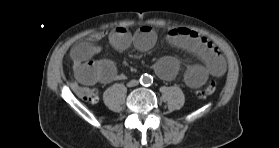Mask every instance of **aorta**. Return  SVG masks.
<instances>
[{
	"label": "aorta",
	"mask_w": 279,
	"mask_h": 148,
	"mask_svg": "<svg viewBox=\"0 0 279 148\" xmlns=\"http://www.w3.org/2000/svg\"><path fill=\"white\" fill-rule=\"evenodd\" d=\"M141 82H142L143 84H145V85H148V84H150V83L152 82V80H151V77H150V76L144 75V76H142V78H141Z\"/></svg>",
	"instance_id": "aorta-1"
}]
</instances>
